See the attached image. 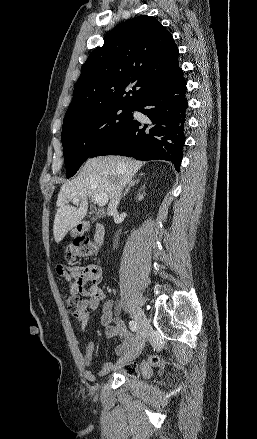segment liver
<instances>
[{
	"instance_id": "6515ba94",
	"label": "liver",
	"mask_w": 257,
	"mask_h": 439,
	"mask_svg": "<svg viewBox=\"0 0 257 439\" xmlns=\"http://www.w3.org/2000/svg\"><path fill=\"white\" fill-rule=\"evenodd\" d=\"M142 166L140 161L117 156L88 159L78 176L63 184L58 194V209L53 224L55 242H61L67 232L83 220L87 214L89 197L106 193L111 199L121 185L130 182ZM74 198L79 199V207L69 205Z\"/></svg>"
}]
</instances>
